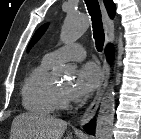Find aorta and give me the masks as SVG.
<instances>
[{"label":"aorta","mask_w":141,"mask_h":139,"mask_svg":"<svg viewBox=\"0 0 141 139\" xmlns=\"http://www.w3.org/2000/svg\"><path fill=\"white\" fill-rule=\"evenodd\" d=\"M89 20L86 16L77 12L67 14L61 28L60 39L63 43L69 44L77 41L88 29ZM67 74H71L69 71ZM115 112L114 84L111 83L100 104L97 123L96 139H112V128Z\"/></svg>","instance_id":"762f6f07"}]
</instances>
